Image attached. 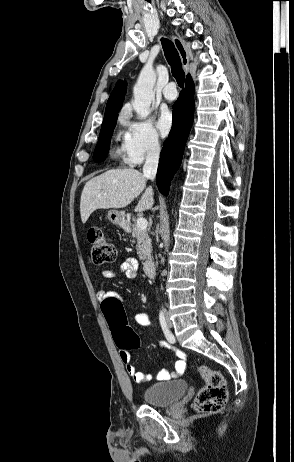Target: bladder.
I'll return each instance as SVG.
<instances>
[{
	"label": "bladder",
	"instance_id": "1",
	"mask_svg": "<svg viewBox=\"0 0 294 462\" xmlns=\"http://www.w3.org/2000/svg\"><path fill=\"white\" fill-rule=\"evenodd\" d=\"M188 390L185 380L157 382L147 387L143 392L146 404L153 406H169L177 402Z\"/></svg>",
	"mask_w": 294,
	"mask_h": 462
}]
</instances>
